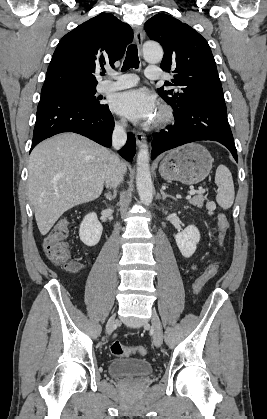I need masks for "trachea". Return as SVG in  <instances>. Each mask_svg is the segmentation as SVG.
Here are the masks:
<instances>
[{
	"mask_svg": "<svg viewBox=\"0 0 267 419\" xmlns=\"http://www.w3.org/2000/svg\"><path fill=\"white\" fill-rule=\"evenodd\" d=\"M138 67H139V58H138L137 46L132 44L127 49L122 71H126L130 68H138Z\"/></svg>",
	"mask_w": 267,
	"mask_h": 419,
	"instance_id": "obj_1",
	"label": "trachea"
}]
</instances>
